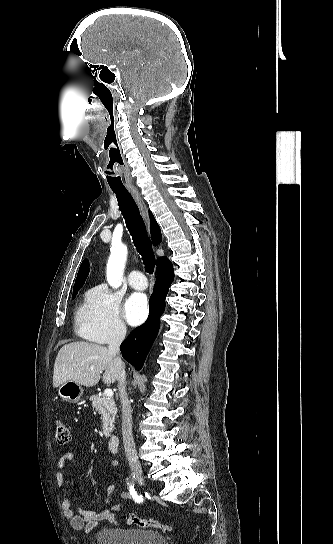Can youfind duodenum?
<instances>
[{
    "mask_svg": "<svg viewBox=\"0 0 333 544\" xmlns=\"http://www.w3.org/2000/svg\"><path fill=\"white\" fill-rule=\"evenodd\" d=\"M120 448V439L116 435H112L108 440V449L111 453H118Z\"/></svg>",
    "mask_w": 333,
    "mask_h": 544,
    "instance_id": "obj_1",
    "label": "duodenum"
}]
</instances>
